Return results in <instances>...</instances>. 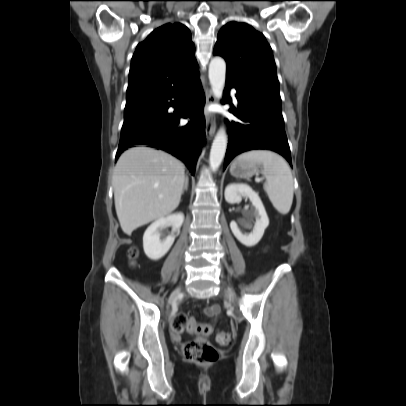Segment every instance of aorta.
<instances>
[{
  "instance_id": "aorta-1",
  "label": "aorta",
  "mask_w": 406,
  "mask_h": 406,
  "mask_svg": "<svg viewBox=\"0 0 406 406\" xmlns=\"http://www.w3.org/2000/svg\"><path fill=\"white\" fill-rule=\"evenodd\" d=\"M226 79V63L221 57H214L209 64V81L214 95L221 98ZM227 136L223 129L216 134L210 151V168L217 171L225 156L227 148Z\"/></svg>"
}]
</instances>
